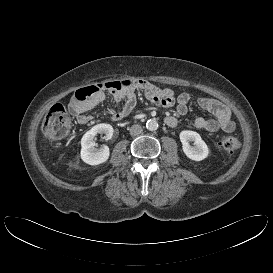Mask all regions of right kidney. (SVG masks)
Returning <instances> with one entry per match:
<instances>
[{
  "label": "right kidney",
  "instance_id": "ca27d5eb",
  "mask_svg": "<svg viewBox=\"0 0 273 273\" xmlns=\"http://www.w3.org/2000/svg\"><path fill=\"white\" fill-rule=\"evenodd\" d=\"M105 134V139L110 140L114 130L110 124H98L87 131L81 139V159L89 165H99L108 160L110 151L108 146L95 148L94 138L97 134Z\"/></svg>",
  "mask_w": 273,
  "mask_h": 273
}]
</instances>
